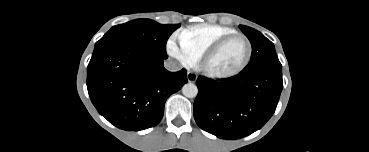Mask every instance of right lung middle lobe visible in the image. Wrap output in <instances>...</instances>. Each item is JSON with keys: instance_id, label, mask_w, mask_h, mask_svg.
<instances>
[{"instance_id": "dd1d6c3e", "label": "right lung middle lobe", "mask_w": 369, "mask_h": 152, "mask_svg": "<svg viewBox=\"0 0 369 152\" xmlns=\"http://www.w3.org/2000/svg\"><path fill=\"white\" fill-rule=\"evenodd\" d=\"M180 25H162L149 19H136L112 27L95 44L94 51L116 43H132L143 46L158 56L167 58L166 42Z\"/></svg>"}]
</instances>
